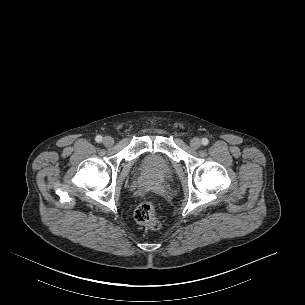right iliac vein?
Returning a JSON list of instances; mask_svg holds the SVG:
<instances>
[{"label":"right iliac vein","instance_id":"obj_1","mask_svg":"<svg viewBox=\"0 0 305 305\" xmlns=\"http://www.w3.org/2000/svg\"><path fill=\"white\" fill-rule=\"evenodd\" d=\"M103 144L105 145V146H112L113 144H114V140H113V138L112 137H110V136H106V137H104V139H103Z\"/></svg>","mask_w":305,"mask_h":305}]
</instances>
